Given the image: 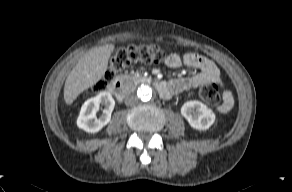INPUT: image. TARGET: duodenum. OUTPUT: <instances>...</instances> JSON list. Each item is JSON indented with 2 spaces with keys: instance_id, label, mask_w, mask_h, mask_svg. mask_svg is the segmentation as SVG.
<instances>
[{
  "instance_id": "obj_1",
  "label": "duodenum",
  "mask_w": 292,
  "mask_h": 192,
  "mask_svg": "<svg viewBox=\"0 0 292 192\" xmlns=\"http://www.w3.org/2000/svg\"><path fill=\"white\" fill-rule=\"evenodd\" d=\"M154 85L160 96L167 97L170 93L169 84L165 81H155ZM131 82L128 78L120 77L110 86V91L118 100H123L130 91Z\"/></svg>"
}]
</instances>
